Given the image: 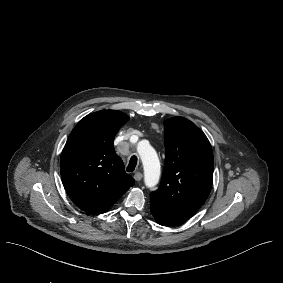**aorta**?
<instances>
[{
  "instance_id": "aorta-1",
  "label": "aorta",
  "mask_w": 283,
  "mask_h": 283,
  "mask_svg": "<svg viewBox=\"0 0 283 283\" xmlns=\"http://www.w3.org/2000/svg\"><path fill=\"white\" fill-rule=\"evenodd\" d=\"M137 151L143 163L145 185L148 188H152L158 183L160 178L158 155L147 141L139 142Z\"/></svg>"
}]
</instances>
